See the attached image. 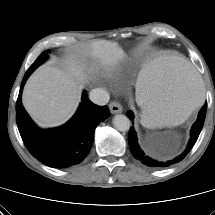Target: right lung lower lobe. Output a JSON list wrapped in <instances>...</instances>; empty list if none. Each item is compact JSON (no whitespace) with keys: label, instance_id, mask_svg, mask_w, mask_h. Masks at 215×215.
I'll use <instances>...</instances> for the list:
<instances>
[{"label":"right lung lower lobe","instance_id":"98d812e1","mask_svg":"<svg viewBox=\"0 0 215 215\" xmlns=\"http://www.w3.org/2000/svg\"><path fill=\"white\" fill-rule=\"evenodd\" d=\"M33 71L27 70L16 102V121L22 140L29 152L41 163L52 168H67L83 161L94 141V130L110 116L107 106H97L83 93L82 102L69 122L49 130L35 126L25 111L21 93Z\"/></svg>","mask_w":215,"mask_h":215}]
</instances>
